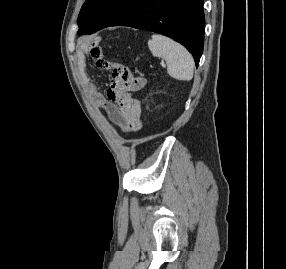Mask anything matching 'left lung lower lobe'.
Returning a JSON list of instances; mask_svg holds the SVG:
<instances>
[{
  "instance_id": "obj_1",
  "label": "left lung lower lobe",
  "mask_w": 286,
  "mask_h": 269,
  "mask_svg": "<svg viewBox=\"0 0 286 269\" xmlns=\"http://www.w3.org/2000/svg\"><path fill=\"white\" fill-rule=\"evenodd\" d=\"M110 26H129L166 35L185 46L196 66L199 64L204 45L203 0H143Z\"/></svg>"
}]
</instances>
